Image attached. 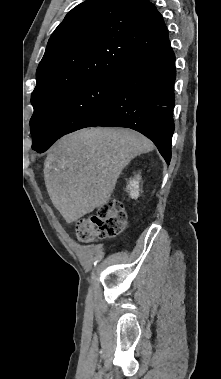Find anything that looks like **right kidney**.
<instances>
[{"mask_svg":"<svg viewBox=\"0 0 221 379\" xmlns=\"http://www.w3.org/2000/svg\"><path fill=\"white\" fill-rule=\"evenodd\" d=\"M141 177L139 175L135 176V178L130 179L127 185V191L131 198L137 199L139 196V180Z\"/></svg>","mask_w":221,"mask_h":379,"instance_id":"1","label":"right kidney"}]
</instances>
